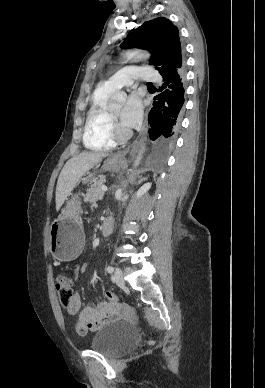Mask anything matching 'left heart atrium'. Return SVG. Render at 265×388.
<instances>
[{
	"instance_id": "39dd6f15",
	"label": "left heart atrium",
	"mask_w": 265,
	"mask_h": 388,
	"mask_svg": "<svg viewBox=\"0 0 265 388\" xmlns=\"http://www.w3.org/2000/svg\"><path fill=\"white\" fill-rule=\"evenodd\" d=\"M142 118V103L136 93L127 97L124 109L121 114V120L128 127L136 126Z\"/></svg>"
}]
</instances>
